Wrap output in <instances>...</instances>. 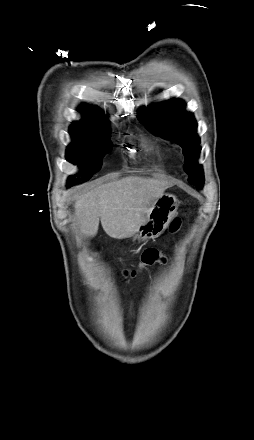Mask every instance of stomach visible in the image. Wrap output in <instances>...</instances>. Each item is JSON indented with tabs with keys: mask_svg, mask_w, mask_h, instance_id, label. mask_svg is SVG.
<instances>
[{
	"mask_svg": "<svg viewBox=\"0 0 254 440\" xmlns=\"http://www.w3.org/2000/svg\"><path fill=\"white\" fill-rule=\"evenodd\" d=\"M178 199L172 194L163 193L153 204L146 221L133 235V241H145L157 238L177 214Z\"/></svg>",
	"mask_w": 254,
	"mask_h": 440,
	"instance_id": "obj_1",
	"label": "stomach"
}]
</instances>
